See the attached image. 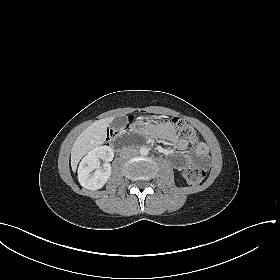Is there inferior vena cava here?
Here are the masks:
<instances>
[{
    "instance_id": "obj_1",
    "label": "inferior vena cava",
    "mask_w": 280,
    "mask_h": 280,
    "mask_svg": "<svg viewBox=\"0 0 280 280\" xmlns=\"http://www.w3.org/2000/svg\"><path fill=\"white\" fill-rule=\"evenodd\" d=\"M138 153L137 149L132 147H126L122 150L121 156L123 158H130Z\"/></svg>"
}]
</instances>
